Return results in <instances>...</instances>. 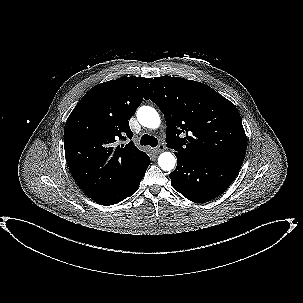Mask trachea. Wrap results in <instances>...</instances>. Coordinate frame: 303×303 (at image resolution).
<instances>
[{
	"label": "trachea",
	"mask_w": 303,
	"mask_h": 303,
	"mask_svg": "<svg viewBox=\"0 0 303 303\" xmlns=\"http://www.w3.org/2000/svg\"><path fill=\"white\" fill-rule=\"evenodd\" d=\"M140 144L144 146L150 145L151 147H156L158 140L154 136L145 134L140 138Z\"/></svg>",
	"instance_id": "1"
}]
</instances>
